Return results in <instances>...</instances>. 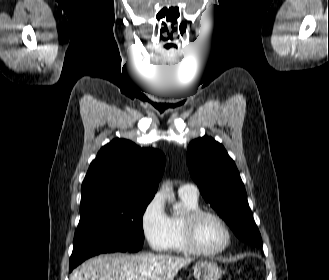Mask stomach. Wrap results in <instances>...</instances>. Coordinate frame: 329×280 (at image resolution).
<instances>
[{
	"mask_svg": "<svg viewBox=\"0 0 329 280\" xmlns=\"http://www.w3.org/2000/svg\"><path fill=\"white\" fill-rule=\"evenodd\" d=\"M193 274L197 280H220L221 268L211 261H199L193 267Z\"/></svg>",
	"mask_w": 329,
	"mask_h": 280,
	"instance_id": "obj_1",
	"label": "stomach"
}]
</instances>
